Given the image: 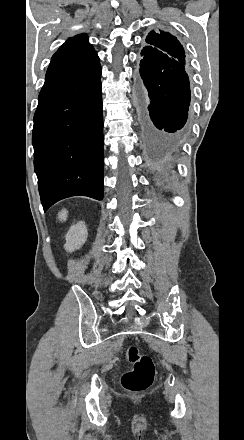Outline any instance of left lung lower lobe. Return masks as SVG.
I'll return each mask as SVG.
<instances>
[{
	"label": "left lung lower lobe",
	"mask_w": 244,
	"mask_h": 440,
	"mask_svg": "<svg viewBox=\"0 0 244 440\" xmlns=\"http://www.w3.org/2000/svg\"><path fill=\"white\" fill-rule=\"evenodd\" d=\"M135 90L140 134L146 149L157 153L180 147L188 133L191 96L185 65L141 59Z\"/></svg>",
	"instance_id": "obj_1"
}]
</instances>
